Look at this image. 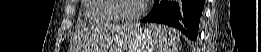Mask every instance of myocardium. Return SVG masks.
Masks as SVG:
<instances>
[{
	"label": "myocardium",
	"mask_w": 261,
	"mask_h": 52,
	"mask_svg": "<svg viewBox=\"0 0 261 52\" xmlns=\"http://www.w3.org/2000/svg\"><path fill=\"white\" fill-rule=\"evenodd\" d=\"M121 0H111L110 9L112 10L113 18L117 23H135L141 19L146 11V1H141V6L136 14L130 17L117 16L115 14L116 2Z\"/></svg>",
	"instance_id": "myocardium-1"
}]
</instances>
